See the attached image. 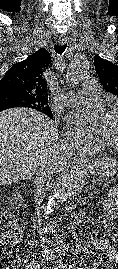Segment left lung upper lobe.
<instances>
[{
    "instance_id": "5c2ea615",
    "label": "left lung upper lobe",
    "mask_w": 118,
    "mask_h": 269,
    "mask_svg": "<svg viewBox=\"0 0 118 269\" xmlns=\"http://www.w3.org/2000/svg\"><path fill=\"white\" fill-rule=\"evenodd\" d=\"M94 66L101 84L107 91L118 96V66L97 55L94 57Z\"/></svg>"
}]
</instances>
